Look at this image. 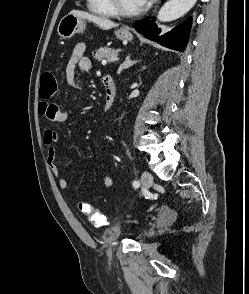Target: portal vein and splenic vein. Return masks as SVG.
<instances>
[{"instance_id":"1","label":"portal vein and splenic vein","mask_w":249,"mask_h":294,"mask_svg":"<svg viewBox=\"0 0 249 294\" xmlns=\"http://www.w3.org/2000/svg\"><path fill=\"white\" fill-rule=\"evenodd\" d=\"M116 58L114 56L107 58V60L102 61V65H106L108 61H114Z\"/></svg>"}]
</instances>
